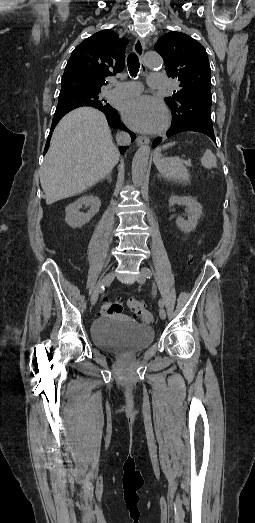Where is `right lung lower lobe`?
Returning <instances> with one entry per match:
<instances>
[{"label": "right lung lower lobe", "mask_w": 255, "mask_h": 523, "mask_svg": "<svg viewBox=\"0 0 255 523\" xmlns=\"http://www.w3.org/2000/svg\"><path fill=\"white\" fill-rule=\"evenodd\" d=\"M132 139H135V135H133ZM47 150V149H46Z\"/></svg>", "instance_id": "98d812e1"}]
</instances>
